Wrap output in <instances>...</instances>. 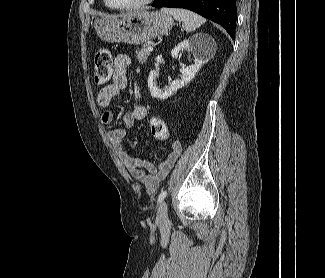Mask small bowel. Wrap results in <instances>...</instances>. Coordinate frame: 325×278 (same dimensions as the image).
<instances>
[{"instance_id":"obj_1","label":"small bowel","mask_w":325,"mask_h":278,"mask_svg":"<svg viewBox=\"0 0 325 278\" xmlns=\"http://www.w3.org/2000/svg\"><path fill=\"white\" fill-rule=\"evenodd\" d=\"M130 64L131 59L128 55H117L114 59L112 82L98 92L97 102L104 109L101 121L105 125L111 124L114 119V113L110 109L111 101L116 95L126 89L128 84L127 70ZM139 98V90L135 87L132 107L123 114L124 127L110 130L108 138L115 151L120 155L130 175L134 177L139 185L145 187L147 194H154L177 161L181 152V144L178 141L165 142L168 151L157 166L146 158L136 156L133 150H126L123 147L122 141L126 129L130 128L136 120H143L147 115V110L139 102Z\"/></svg>"}]
</instances>
